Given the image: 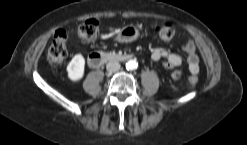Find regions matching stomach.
Returning a JSON list of instances; mask_svg holds the SVG:
<instances>
[{
  "instance_id": "stomach-1",
  "label": "stomach",
  "mask_w": 247,
  "mask_h": 145,
  "mask_svg": "<svg viewBox=\"0 0 247 145\" xmlns=\"http://www.w3.org/2000/svg\"><path fill=\"white\" fill-rule=\"evenodd\" d=\"M138 36V28L133 25H128L119 30L116 36V40L121 43H129L135 41Z\"/></svg>"
}]
</instances>
